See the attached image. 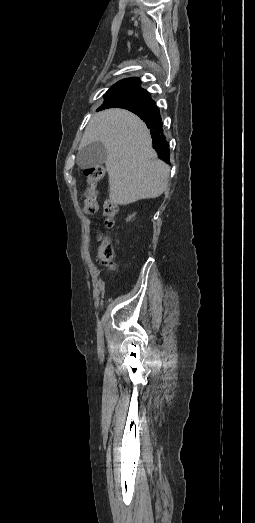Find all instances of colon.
Wrapping results in <instances>:
<instances>
[{
	"label": "colon",
	"mask_w": 255,
	"mask_h": 523,
	"mask_svg": "<svg viewBox=\"0 0 255 523\" xmlns=\"http://www.w3.org/2000/svg\"><path fill=\"white\" fill-rule=\"evenodd\" d=\"M105 168L103 166H94L85 169L84 174L87 179V187L84 192L83 211L88 215L97 213L98 196L97 186L105 176ZM118 212L117 205L111 201L106 200L103 204V219L106 228L111 229L115 226L116 215ZM114 248L111 242L107 239H102L96 253V261L98 264L106 267L113 266Z\"/></svg>",
	"instance_id": "colon-1"
}]
</instances>
